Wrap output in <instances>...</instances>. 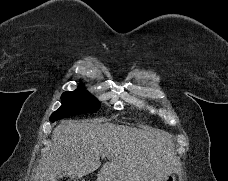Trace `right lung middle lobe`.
<instances>
[{
	"label": "right lung middle lobe",
	"mask_w": 228,
	"mask_h": 181,
	"mask_svg": "<svg viewBox=\"0 0 228 181\" xmlns=\"http://www.w3.org/2000/svg\"><path fill=\"white\" fill-rule=\"evenodd\" d=\"M61 102L62 106L50 116L51 122L78 114L96 113L100 108V102L82 87L64 92Z\"/></svg>",
	"instance_id": "right-lung-middle-lobe-1"
}]
</instances>
